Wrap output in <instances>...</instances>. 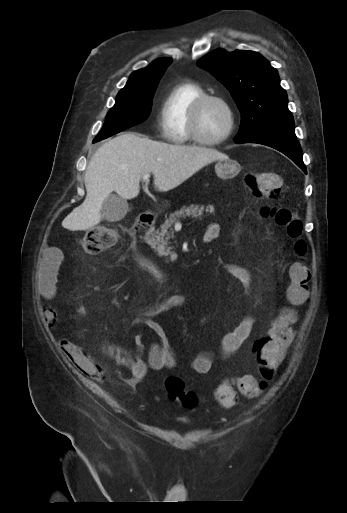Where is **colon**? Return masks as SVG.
I'll return each mask as SVG.
<instances>
[{"label": "colon", "mask_w": 347, "mask_h": 513, "mask_svg": "<svg viewBox=\"0 0 347 513\" xmlns=\"http://www.w3.org/2000/svg\"><path fill=\"white\" fill-rule=\"evenodd\" d=\"M245 191L248 195H257L264 199H274L282 191V180L274 172H256L247 176ZM263 218L274 219L285 228L287 236L294 241V253L298 260L289 268L287 296L292 303H300L306 299L311 272L305 262L307 244L303 238V220L288 208L262 207ZM118 240L115 230L105 226H94L83 236V247L89 253H99L113 247ZM296 312L291 307L278 311L270 323L268 337L258 344L256 377L239 376L231 381L220 383L214 392L215 400L223 407L230 408L236 404L239 391L246 397H257L268 386L271 379L278 374L279 363L287 356L286 345L293 336L292 325L296 321ZM166 390L172 399L181 401L187 408L197 405V397L193 392L185 391L181 378L171 376L166 379Z\"/></svg>", "instance_id": "1"}]
</instances>
